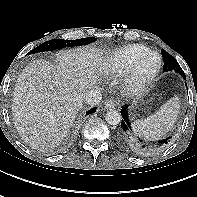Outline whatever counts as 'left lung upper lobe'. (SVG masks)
<instances>
[{
	"label": "left lung upper lobe",
	"mask_w": 197,
	"mask_h": 197,
	"mask_svg": "<svg viewBox=\"0 0 197 197\" xmlns=\"http://www.w3.org/2000/svg\"><path fill=\"white\" fill-rule=\"evenodd\" d=\"M161 53L164 61L163 72L174 70L184 77L185 73L183 72V70L181 69L180 65L175 60V58L164 50H161Z\"/></svg>",
	"instance_id": "5c2ea615"
}]
</instances>
